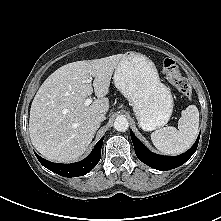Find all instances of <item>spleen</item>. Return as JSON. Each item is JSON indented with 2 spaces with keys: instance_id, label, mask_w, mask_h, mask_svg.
<instances>
[{
  "instance_id": "1",
  "label": "spleen",
  "mask_w": 221,
  "mask_h": 221,
  "mask_svg": "<svg viewBox=\"0 0 221 221\" xmlns=\"http://www.w3.org/2000/svg\"><path fill=\"white\" fill-rule=\"evenodd\" d=\"M199 127V111L195 105H189L181 113L178 129L167 126L154 131L151 140L162 153L175 155L190 148L196 139Z\"/></svg>"
}]
</instances>
